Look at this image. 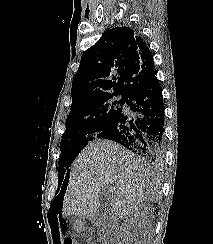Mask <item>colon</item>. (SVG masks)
Masks as SVG:
<instances>
[{"mask_svg":"<svg viewBox=\"0 0 213 244\" xmlns=\"http://www.w3.org/2000/svg\"><path fill=\"white\" fill-rule=\"evenodd\" d=\"M63 244H76V241L72 238H66L64 239Z\"/></svg>","mask_w":213,"mask_h":244,"instance_id":"5ec220e1","label":"colon"}]
</instances>
